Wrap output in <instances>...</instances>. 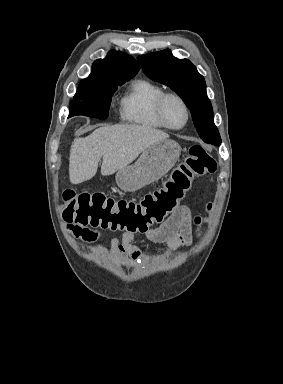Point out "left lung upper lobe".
I'll return each mask as SVG.
<instances>
[{"label":"left lung upper lobe","instance_id":"obj_1","mask_svg":"<svg viewBox=\"0 0 283 384\" xmlns=\"http://www.w3.org/2000/svg\"><path fill=\"white\" fill-rule=\"evenodd\" d=\"M138 60L150 79L171 87L184 100L202 140L220 145L221 138L214 125L206 83L196 67L187 59L174 57L169 49L138 56Z\"/></svg>","mask_w":283,"mask_h":384}]
</instances>
